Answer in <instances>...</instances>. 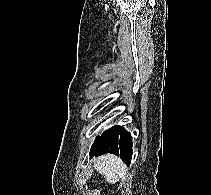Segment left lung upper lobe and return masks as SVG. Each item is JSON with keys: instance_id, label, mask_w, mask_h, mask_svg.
Returning <instances> with one entry per match:
<instances>
[{"instance_id": "5c2ea615", "label": "left lung upper lobe", "mask_w": 211, "mask_h": 195, "mask_svg": "<svg viewBox=\"0 0 211 195\" xmlns=\"http://www.w3.org/2000/svg\"><path fill=\"white\" fill-rule=\"evenodd\" d=\"M98 139H99V136L96 137V139H95V141H94V143H93L91 149L94 147V145L96 144V142L98 141Z\"/></svg>"}]
</instances>
